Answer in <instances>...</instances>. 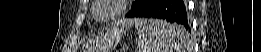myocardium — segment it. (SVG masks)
Here are the masks:
<instances>
[{
	"mask_svg": "<svg viewBox=\"0 0 261 52\" xmlns=\"http://www.w3.org/2000/svg\"><path fill=\"white\" fill-rule=\"evenodd\" d=\"M128 2H129L128 0H98L97 5L93 10V17L99 22H103V23L111 22L125 12ZM106 6L113 7V12L110 16L106 18H100L98 16V11Z\"/></svg>",
	"mask_w": 261,
	"mask_h": 52,
	"instance_id": "myocardium-1",
	"label": "myocardium"
}]
</instances>
